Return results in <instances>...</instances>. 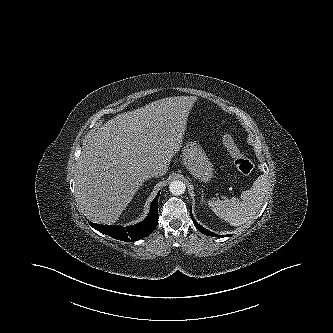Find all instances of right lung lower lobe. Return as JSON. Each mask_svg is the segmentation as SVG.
I'll use <instances>...</instances> for the list:
<instances>
[{
	"instance_id": "1",
	"label": "right lung lower lobe",
	"mask_w": 333,
	"mask_h": 333,
	"mask_svg": "<svg viewBox=\"0 0 333 333\" xmlns=\"http://www.w3.org/2000/svg\"><path fill=\"white\" fill-rule=\"evenodd\" d=\"M160 193V192H159ZM159 193L152 201L150 206V213L144 221L133 226H111V225H98L89 222V224L101 233H104L117 240L131 242L137 241L151 234L158 223V198Z\"/></svg>"
}]
</instances>
